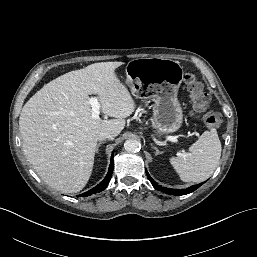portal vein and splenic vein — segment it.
<instances>
[{"instance_id":"18ae733b","label":"portal vein and splenic vein","mask_w":257,"mask_h":257,"mask_svg":"<svg viewBox=\"0 0 257 257\" xmlns=\"http://www.w3.org/2000/svg\"><path fill=\"white\" fill-rule=\"evenodd\" d=\"M89 103L92 107L91 112H92V117L95 119L99 118L100 114V103L98 102L97 97H91L89 98ZM175 138H172L174 140Z\"/></svg>"}]
</instances>
